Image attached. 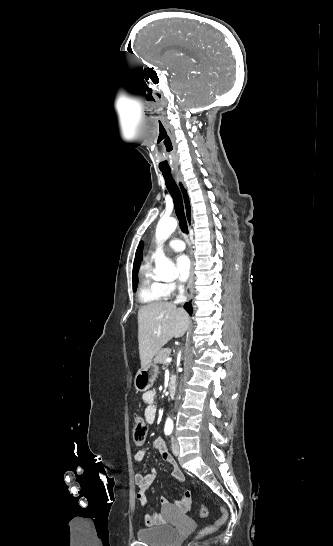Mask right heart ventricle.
<instances>
[{
	"mask_svg": "<svg viewBox=\"0 0 333 546\" xmlns=\"http://www.w3.org/2000/svg\"><path fill=\"white\" fill-rule=\"evenodd\" d=\"M139 298L145 304L158 303L166 298L162 283L155 278L150 263H145L140 270Z\"/></svg>",
	"mask_w": 333,
	"mask_h": 546,
	"instance_id": "obj_1",
	"label": "right heart ventricle"
}]
</instances>
